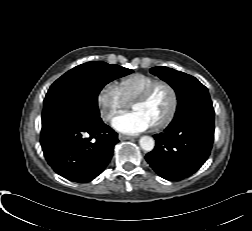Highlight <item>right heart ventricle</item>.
Listing matches in <instances>:
<instances>
[{"label": "right heart ventricle", "mask_w": 252, "mask_h": 231, "mask_svg": "<svg viewBox=\"0 0 252 231\" xmlns=\"http://www.w3.org/2000/svg\"><path fill=\"white\" fill-rule=\"evenodd\" d=\"M157 80L153 76L137 73L122 78L117 87L122 98L129 104Z\"/></svg>", "instance_id": "right-heart-ventricle-1"}]
</instances>
